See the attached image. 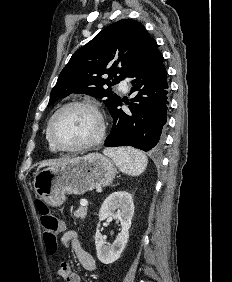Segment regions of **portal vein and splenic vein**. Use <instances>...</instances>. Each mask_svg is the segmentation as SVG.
<instances>
[{
    "label": "portal vein and splenic vein",
    "mask_w": 232,
    "mask_h": 282,
    "mask_svg": "<svg viewBox=\"0 0 232 282\" xmlns=\"http://www.w3.org/2000/svg\"><path fill=\"white\" fill-rule=\"evenodd\" d=\"M80 205H81V206H87V205H88V201H87L86 199H82V200L80 201Z\"/></svg>",
    "instance_id": "1"
}]
</instances>
